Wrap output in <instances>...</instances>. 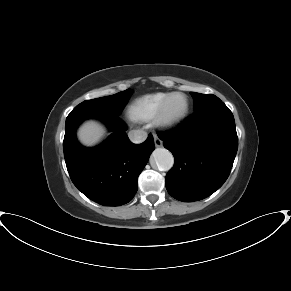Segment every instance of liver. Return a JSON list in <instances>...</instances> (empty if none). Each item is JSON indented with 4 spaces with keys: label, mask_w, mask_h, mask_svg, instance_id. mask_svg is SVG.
Masks as SVG:
<instances>
[{
    "label": "liver",
    "mask_w": 291,
    "mask_h": 291,
    "mask_svg": "<svg viewBox=\"0 0 291 291\" xmlns=\"http://www.w3.org/2000/svg\"><path fill=\"white\" fill-rule=\"evenodd\" d=\"M105 134L102 125L95 121L85 122L78 131V138L85 146H93L97 144Z\"/></svg>",
    "instance_id": "obj_1"
}]
</instances>
